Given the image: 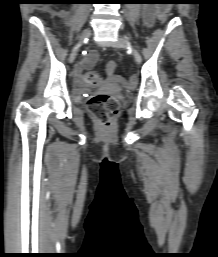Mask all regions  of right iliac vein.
<instances>
[{"label": "right iliac vein", "mask_w": 218, "mask_h": 257, "mask_svg": "<svg viewBox=\"0 0 218 257\" xmlns=\"http://www.w3.org/2000/svg\"><path fill=\"white\" fill-rule=\"evenodd\" d=\"M90 35H91V30H90V29H85V30L81 33V35H80V37H79V44H80L81 42H83L86 38H88ZM77 52H78V47H76V48L73 50V52L71 53L70 59H69L70 63H73V61L75 60V58H76V56H77Z\"/></svg>", "instance_id": "63e3f726"}]
</instances>
